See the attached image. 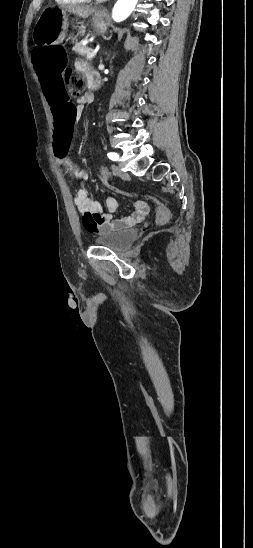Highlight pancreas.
<instances>
[{"instance_id":"pancreas-1","label":"pancreas","mask_w":253,"mask_h":548,"mask_svg":"<svg viewBox=\"0 0 253 548\" xmlns=\"http://www.w3.org/2000/svg\"><path fill=\"white\" fill-rule=\"evenodd\" d=\"M73 51L81 56H87L89 52L91 51L90 48L82 45V43H77L73 47Z\"/></svg>"}]
</instances>
